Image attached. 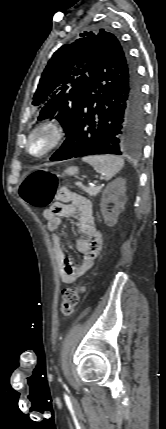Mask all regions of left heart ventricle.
Returning <instances> with one entry per match:
<instances>
[{
	"mask_svg": "<svg viewBox=\"0 0 166 429\" xmlns=\"http://www.w3.org/2000/svg\"><path fill=\"white\" fill-rule=\"evenodd\" d=\"M47 144V139L45 136H36L35 138H33L30 148L33 152H39L41 150H43L46 147Z\"/></svg>",
	"mask_w": 166,
	"mask_h": 429,
	"instance_id": "obj_1",
	"label": "left heart ventricle"
}]
</instances>
